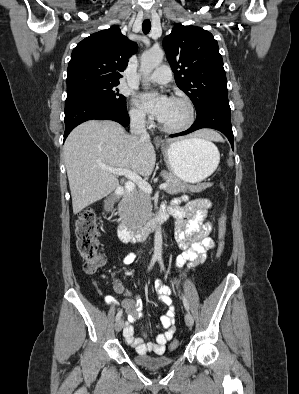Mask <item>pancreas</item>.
Returning a JSON list of instances; mask_svg holds the SVG:
<instances>
[{"mask_svg":"<svg viewBox=\"0 0 299 394\" xmlns=\"http://www.w3.org/2000/svg\"><path fill=\"white\" fill-rule=\"evenodd\" d=\"M161 176L168 183L165 191L171 195L184 192L199 193L212 186V183L189 185L168 172L161 173ZM151 212L152 203L149 194L144 193L142 190L131 193L127 204V214L135 222L133 225L134 229L142 226L150 218Z\"/></svg>","mask_w":299,"mask_h":394,"instance_id":"pancreas-1","label":"pancreas"}]
</instances>
